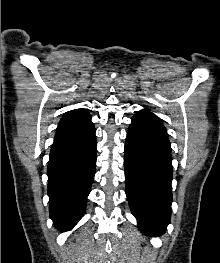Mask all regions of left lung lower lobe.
I'll use <instances>...</instances> for the list:
<instances>
[{
    "label": "left lung lower lobe",
    "instance_id": "0a47b994",
    "mask_svg": "<svg viewBox=\"0 0 220 263\" xmlns=\"http://www.w3.org/2000/svg\"><path fill=\"white\" fill-rule=\"evenodd\" d=\"M126 195L139 229L161 235L170 222L171 145L165 128L133 117L125 143Z\"/></svg>",
    "mask_w": 220,
    "mask_h": 263
}]
</instances>
